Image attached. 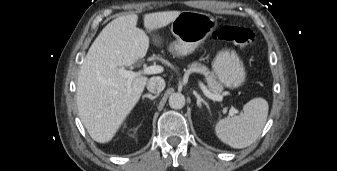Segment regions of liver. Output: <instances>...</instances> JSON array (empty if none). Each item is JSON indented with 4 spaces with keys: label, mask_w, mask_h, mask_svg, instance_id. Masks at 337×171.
Wrapping results in <instances>:
<instances>
[{
    "label": "liver",
    "mask_w": 337,
    "mask_h": 171,
    "mask_svg": "<svg viewBox=\"0 0 337 171\" xmlns=\"http://www.w3.org/2000/svg\"><path fill=\"white\" fill-rule=\"evenodd\" d=\"M180 11L145 14L148 32L170 24ZM138 15L129 14L108 23L88 50L80 68L77 82L79 117L91 138L99 143L109 142L137 104L148 81L135 77L128 86L119 73L143 58L149 47L146 33L137 28ZM153 41L158 43L157 39Z\"/></svg>",
    "instance_id": "obj_1"
}]
</instances>
